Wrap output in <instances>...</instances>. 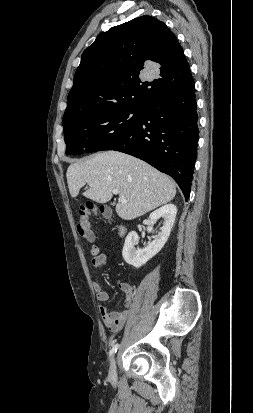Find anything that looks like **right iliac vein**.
Wrapping results in <instances>:
<instances>
[{
    "label": "right iliac vein",
    "mask_w": 253,
    "mask_h": 413,
    "mask_svg": "<svg viewBox=\"0 0 253 413\" xmlns=\"http://www.w3.org/2000/svg\"><path fill=\"white\" fill-rule=\"evenodd\" d=\"M109 378L111 380H116L117 372H116V359L115 357L112 358L109 368Z\"/></svg>",
    "instance_id": "63e3f726"
}]
</instances>
